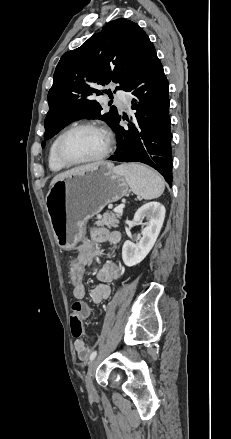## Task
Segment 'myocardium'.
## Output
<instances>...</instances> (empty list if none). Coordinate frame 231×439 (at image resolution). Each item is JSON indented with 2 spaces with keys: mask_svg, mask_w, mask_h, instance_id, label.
Instances as JSON below:
<instances>
[{
  "mask_svg": "<svg viewBox=\"0 0 231 439\" xmlns=\"http://www.w3.org/2000/svg\"><path fill=\"white\" fill-rule=\"evenodd\" d=\"M87 128L98 130L105 135L106 145H105L104 150L99 155L92 157V158H89V159L73 160V159L69 158L65 154L64 147H63L66 137L76 130L87 129ZM113 143H114L113 135L107 127H105L101 124L95 123V122H81V123H78V124H75V125L69 127L68 129H66L65 131H63L59 135L58 140H57V144H56V153H57L59 160L62 163H64L65 165L79 166V165H84V164L95 163V162L101 161L104 158H106L110 154V152L112 151Z\"/></svg>",
  "mask_w": 231,
  "mask_h": 439,
  "instance_id": "myocardium-1",
  "label": "myocardium"
}]
</instances>
